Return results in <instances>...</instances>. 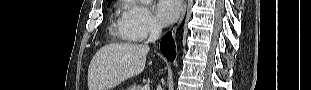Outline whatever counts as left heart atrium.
Segmentation results:
<instances>
[{
    "instance_id": "39dd6f15",
    "label": "left heart atrium",
    "mask_w": 311,
    "mask_h": 90,
    "mask_svg": "<svg viewBox=\"0 0 311 90\" xmlns=\"http://www.w3.org/2000/svg\"><path fill=\"white\" fill-rule=\"evenodd\" d=\"M157 16L163 25L172 24L181 12V4L178 0H161L156 8Z\"/></svg>"
}]
</instances>
